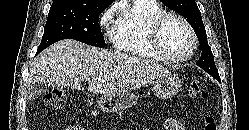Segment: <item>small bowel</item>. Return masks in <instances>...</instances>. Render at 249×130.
<instances>
[{"label":"small bowel","instance_id":"small-bowel-1","mask_svg":"<svg viewBox=\"0 0 249 130\" xmlns=\"http://www.w3.org/2000/svg\"><path fill=\"white\" fill-rule=\"evenodd\" d=\"M162 125L165 130H187L186 126L181 121L171 117L164 118L162 120ZM63 130H91V129H86L80 125H69Z\"/></svg>","mask_w":249,"mask_h":130}]
</instances>
